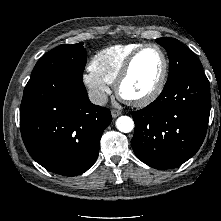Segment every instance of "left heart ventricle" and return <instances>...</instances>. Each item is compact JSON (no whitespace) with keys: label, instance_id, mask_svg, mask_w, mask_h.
<instances>
[{"label":"left heart ventricle","instance_id":"obj_1","mask_svg":"<svg viewBox=\"0 0 221 221\" xmlns=\"http://www.w3.org/2000/svg\"><path fill=\"white\" fill-rule=\"evenodd\" d=\"M162 70V57L156 48H147L135 60L131 73L123 83L122 92L128 98H140L156 85Z\"/></svg>","mask_w":221,"mask_h":221}]
</instances>
